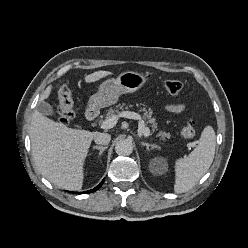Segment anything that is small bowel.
Returning a JSON list of instances; mask_svg holds the SVG:
<instances>
[{"mask_svg":"<svg viewBox=\"0 0 248 248\" xmlns=\"http://www.w3.org/2000/svg\"><path fill=\"white\" fill-rule=\"evenodd\" d=\"M166 109L171 113H181L184 111L185 106L183 104H170Z\"/></svg>","mask_w":248,"mask_h":248,"instance_id":"obj_1","label":"small bowel"}]
</instances>
